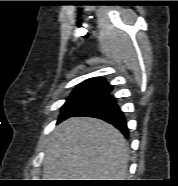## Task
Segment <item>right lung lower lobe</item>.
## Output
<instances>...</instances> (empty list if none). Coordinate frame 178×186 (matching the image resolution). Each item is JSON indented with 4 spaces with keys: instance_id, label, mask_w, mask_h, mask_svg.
I'll return each instance as SVG.
<instances>
[{
    "instance_id": "obj_1",
    "label": "right lung lower lobe",
    "mask_w": 178,
    "mask_h": 186,
    "mask_svg": "<svg viewBox=\"0 0 178 186\" xmlns=\"http://www.w3.org/2000/svg\"><path fill=\"white\" fill-rule=\"evenodd\" d=\"M109 92L110 90L62 120L75 116L95 117L112 124L125 136H128L129 132L126 126L124 114L117 105L115 98L111 96Z\"/></svg>"
}]
</instances>
